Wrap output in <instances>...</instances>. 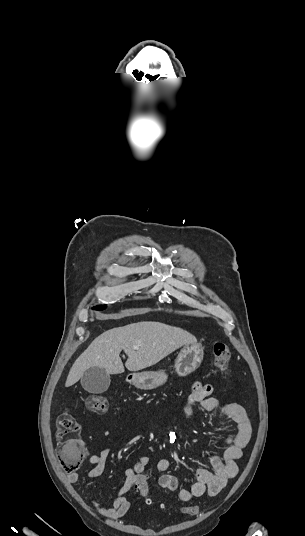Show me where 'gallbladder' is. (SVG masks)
<instances>
[{"label":"gallbladder","mask_w":305,"mask_h":536,"mask_svg":"<svg viewBox=\"0 0 305 536\" xmlns=\"http://www.w3.org/2000/svg\"><path fill=\"white\" fill-rule=\"evenodd\" d=\"M110 374H106L104 368L92 366L83 372L81 386L89 394H103L110 386Z\"/></svg>","instance_id":"bac80fb5"}]
</instances>
